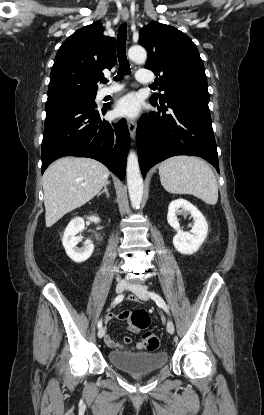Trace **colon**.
I'll use <instances>...</instances> for the list:
<instances>
[{"instance_id": "5ec220e1", "label": "colon", "mask_w": 264, "mask_h": 415, "mask_svg": "<svg viewBox=\"0 0 264 415\" xmlns=\"http://www.w3.org/2000/svg\"><path fill=\"white\" fill-rule=\"evenodd\" d=\"M132 325L139 329H146L150 324V318L144 311H134L130 315ZM143 349L148 352H154L158 349L160 341L158 337L151 332H144L142 335Z\"/></svg>"}]
</instances>
